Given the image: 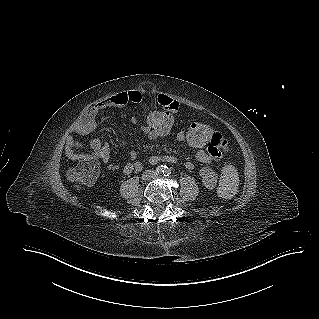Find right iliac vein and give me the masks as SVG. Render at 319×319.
I'll return each mask as SVG.
<instances>
[{
  "mask_svg": "<svg viewBox=\"0 0 319 319\" xmlns=\"http://www.w3.org/2000/svg\"><path fill=\"white\" fill-rule=\"evenodd\" d=\"M149 175H150V173H149L148 171L144 172V173L142 174V179H143V180H147V179L149 178Z\"/></svg>",
  "mask_w": 319,
  "mask_h": 319,
  "instance_id": "right-iliac-vein-1",
  "label": "right iliac vein"
}]
</instances>
